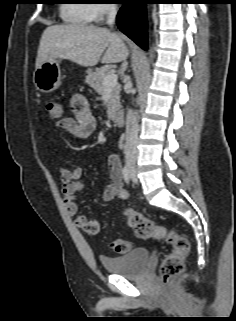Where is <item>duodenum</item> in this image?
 <instances>
[{"mask_svg": "<svg viewBox=\"0 0 236 321\" xmlns=\"http://www.w3.org/2000/svg\"><path fill=\"white\" fill-rule=\"evenodd\" d=\"M111 119L118 126H122L124 124V116L121 113H115L111 116Z\"/></svg>", "mask_w": 236, "mask_h": 321, "instance_id": "410a0bca", "label": "duodenum"}]
</instances>
